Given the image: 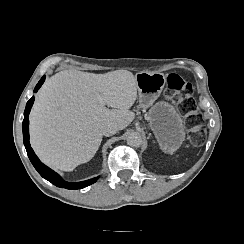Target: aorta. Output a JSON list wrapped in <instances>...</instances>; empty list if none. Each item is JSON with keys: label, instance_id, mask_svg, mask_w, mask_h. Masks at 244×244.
I'll use <instances>...</instances> for the list:
<instances>
[{"label": "aorta", "instance_id": "obj_1", "mask_svg": "<svg viewBox=\"0 0 244 244\" xmlns=\"http://www.w3.org/2000/svg\"><path fill=\"white\" fill-rule=\"evenodd\" d=\"M127 143L133 147H139L142 144V137L138 132H131L127 135Z\"/></svg>", "mask_w": 244, "mask_h": 244}]
</instances>
